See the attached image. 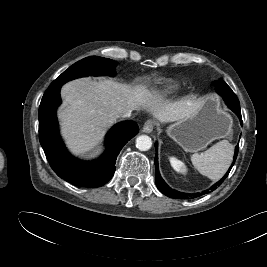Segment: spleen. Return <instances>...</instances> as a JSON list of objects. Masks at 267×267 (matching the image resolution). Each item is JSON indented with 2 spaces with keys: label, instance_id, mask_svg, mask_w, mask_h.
Masks as SVG:
<instances>
[{
  "label": "spleen",
  "instance_id": "1",
  "mask_svg": "<svg viewBox=\"0 0 267 267\" xmlns=\"http://www.w3.org/2000/svg\"><path fill=\"white\" fill-rule=\"evenodd\" d=\"M234 154V146L222 140L205 152L195 153L191 162L198 172L211 180H219L228 170Z\"/></svg>",
  "mask_w": 267,
  "mask_h": 267
}]
</instances>
